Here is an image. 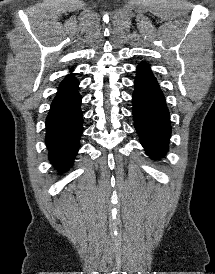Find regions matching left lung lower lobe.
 <instances>
[{
	"mask_svg": "<svg viewBox=\"0 0 215 274\" xmlns=\"http://www.w3.org/2000/svg\"><path fill=\"white\" fill-rule=\"evenodd\" d=\"M133 92L135 129L147 154L161 158L171 135L170 116L165 98L148 66L139 65Z\"/></svg>",
	"mask_w": 215,
	"mask_h": 274,
	"instance_id": "left-lung-lower-lobe-1",
	"label": "left lung lower lobe"
}]
</instances>
